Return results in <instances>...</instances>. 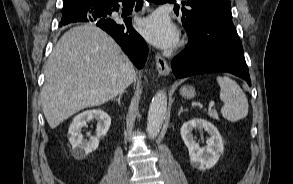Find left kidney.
Listing matches in <instances>:
<instances>
[{"instance_id":"1","label":"left kidney","mask_w":293,"mask_h":184,"mask_svg":"<svg viewBox=\"0 0 293 184\" xmlns=\"http://www.w3.org/2000/svg\"><path fill=\"white\" fill-rule=\"evenodd\" d=\"M194 129H204L210 135L205 148H200L195 142ZM181 137L188 148L191 165L199 170L212 168L224 151V144L219 131L213 124L204 119L195 118L183 123Z\"/></svg>"}]
</instances>
